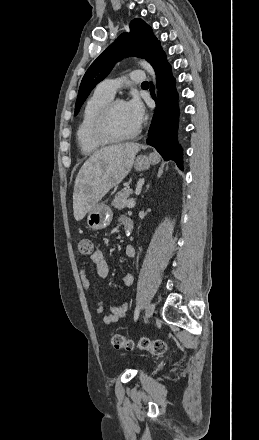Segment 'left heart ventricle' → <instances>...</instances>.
Here are the masks:
<instances>
[{
  "label": "left heart ventricle",
  "instance_id": "obj_1",
  "mask_svg": "<svg viewBox=\"0 0 259 440\" xmlns=\"http://www.w3.org/2000/svg\"><path fill=\"white\" fill-rule=\"evenodd\" d=\"M111 127L113 132L117 135L129 134L137 128L129 117L124 102L116 104L112 113Z\"/></svg>",
  "mask_w": 259,
  "mask_h": 440
}]
</instances>
